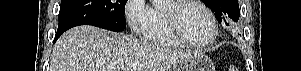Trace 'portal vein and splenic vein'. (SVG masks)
<instances>
[{"label": "portal vein and splenic vein", "instance_id": "1", "mask_svg": "<svg viewBox=\"0 0 301 71\" xmlns=\"http://www.w3.org/2000/svg\"><path fill=\"white\" fill-rule=\"evenodd\" d=\"M129 66H124L123 68H128Z\"/></svg>", "mask_w": 301, "mask_h": 71}]
</instances>
